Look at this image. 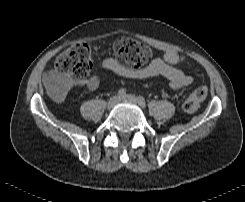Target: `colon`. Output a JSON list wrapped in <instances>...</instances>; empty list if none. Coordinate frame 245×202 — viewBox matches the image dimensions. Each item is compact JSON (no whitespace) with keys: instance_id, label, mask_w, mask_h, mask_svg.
I'll return each instance as SVG.
<instances>
[{"instance_id":"colon-1","label":"colon","mask_w":245,"mask_h":202,"mask_svg":"<svg viewBox=\"0 0 245 202\" xmlns=\"http://www.w3.org/2000/svg\"><path fill=\"white\" fill-rule=\"evenodd\" d=\"M114 54L123 66L139 67L152 56L151 48L131 35L118 37L113 44ZM90 49L86 43H76L59 54L54 61V71L60 77L84 79L91 71ZM55 83V80H54ZM208 87L195 89L183 103V111L191 114L208 95Z\"/></svg>"}]
</instances>
